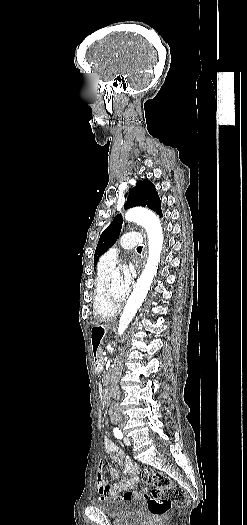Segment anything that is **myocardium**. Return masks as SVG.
Instances as JSON below:
<instances>
[{"instance_id": "myocardium-1", "label": "myocardium", "mask_w": 247, "mask_h": 525, "mask_svg": "<svg viewBox=\"0 0 247 525\" xmlns=\"http://www.w3.org/2000/svg\"><path fill=\"white\" fill-rule=\"evenodd\" d=\"M120 260L113 266L117 267L118 264H119ZM104 291H105V294L107 295L108 293H110V289H109V278H107L105 280V283H104Z\"/></svg>"}]
</instances>
